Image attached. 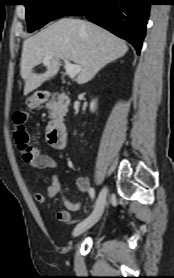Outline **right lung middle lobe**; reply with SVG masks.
Segmentation results:
<instances>
[{
	"label": "right lung middle lobe",
	"mask_w": 174,
	"mask_h": 278,
	"mask_svg": "<svg viewBox=\"0 0 174 278\" xmlns=\"http://www.w3.org/2000/svg\"><path fill=\"white\" fill-rule=\"evenodd\" d=\"M79 0H24L28 31L41 28L52 19L64 16Z\"/></svg>",
	"instance_id": "dd1d6c3e"
}]
</instances>
